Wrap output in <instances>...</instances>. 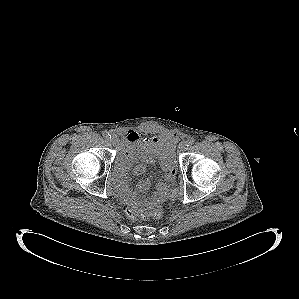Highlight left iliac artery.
<instances>
[{
	"label": "left iliac artery",
	"mask_w": 299,
	"mask_h": 299,
	"mask_svg": "<svg viewBox=\"0 0 299 299\" xmlns=\"http://www.w3.org/2000/svg\"><path fill=\"white\" fill-rule=\"evenodd\" d=\"M193 143H194V141L192 139H189L187 141V146H191V145H193Z\"/></svg>",
	"instance_id": "obj_1"
}]
</instances>
